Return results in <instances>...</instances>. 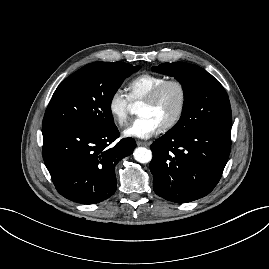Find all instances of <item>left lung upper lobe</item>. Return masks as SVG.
Listing matches in <instances>:
<instances>
[{
	"label": "left lung upper lobe",
	"instance_id": "5c2ea615",
	"mask_svg": "<svg viewBox=\"0 0 269 269\" xmlns=\"http://www.w3.org/2000/svg\"><path fill=\"white\" fill-rule=\"evenodd\" d=\"M152 71L173 76L184 90L182 116L167 133L186 134L197 128L231 126L232 112L223 86L203 68L183 63H163Z\"/></svg>",
	"mask_w": 269,
	"mask_h": 269
}]
</instances>
